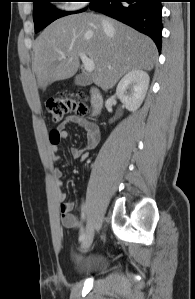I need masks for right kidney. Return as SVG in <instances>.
<instances>
[{
  "label": "right kidney",
  "mask_w": 195,
  "mask_h": 299,
  "mask_svg": "<svg viewBox=\"0 0 195 299\" xmlns=\"http://www.w3.org/2000/svg\"><path fill=\"white\" fill-rule=\"evenodd\" d=\"M149 81V75L141 69L129 71L120 80L116 95L127 110L135 112L141 106L149 87Z\"/></svg>",
  "instance_id": "obj_1"
}]
</instances>
